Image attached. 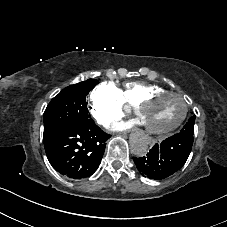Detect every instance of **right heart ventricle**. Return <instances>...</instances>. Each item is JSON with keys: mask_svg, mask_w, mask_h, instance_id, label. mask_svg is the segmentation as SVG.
<instances>
[{"mask_svg": "<svg viewBox=\"0 0 227 227\" xmlns=\"http://www.w3.org/2000/svg\"><path fill=\"white\" fill-rule=\"evenodd\" d=\"M163 90L165 88L157 84L131 81L125 83L120 92L123 104L128 107H134L135 103L145 95Z\"/></svg>", "mask_w": 227, "mask_h": 227, "instance_id": "1", "label": "right heart ventricle"}]
</instances>
